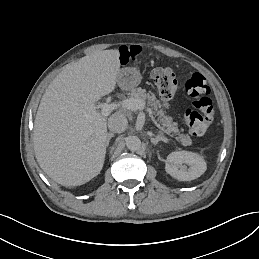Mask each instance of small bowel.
Returning a JSON list of instances; mask_svg holds the SVG:
<instances>
[{
	"mask_svg": "<svg viewBox=\"0 0 259 259\" xmlns=\"http://www.w3.org/2000/svg\"><path fill=\"white\" fill-rule=\"evenodd\" d=\"M119 52L120 61L122 63H127L140 53V48L138 46L122 47Z\"/></svg>",
	"mask_w": 259,
	"mask_h": 259,
	"instance_id": "small-bowel-1",
	"label": "small bowel"
}]
</instances>
